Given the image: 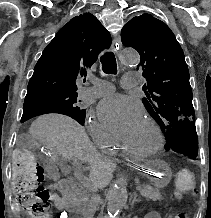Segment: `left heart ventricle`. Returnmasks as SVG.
Instances as JSON below:
<instances>
[{"label":"left heart ventricle","instance_id":"left-heart-ventricle-1","mask_svg":"<svg viewBox=\"0 0 211 218\" xmlns=\"http://www.w3.org/2000/svg\"><path fill=\"white\" fill-rule=\"evenodd\" d=\"M124 141L131 149L139 152H147L154 148L157 139L152 127L146 121H143Z\"/></svg>","mask_w":211,"mask_h":218}]
</instances>
